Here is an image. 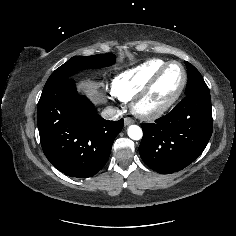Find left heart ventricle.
<instances>
[{"instance_id": "obj_1", "label": "left heart ventricle", "mask_w": 236, "mask_h": 236, "mask_svg": "<svg viewBox=\"0 0 236 236\" xmlns=\"http://www.w3.org/2000/svg\"><path fill=\"white\" fill-rule=\"evenodd\" d=\"M182 77L181 68L176 64L171 65L142 102L141 107L145 110H152L165 104L178 90Z\"/></svg>"}]
</instances>
